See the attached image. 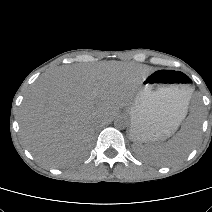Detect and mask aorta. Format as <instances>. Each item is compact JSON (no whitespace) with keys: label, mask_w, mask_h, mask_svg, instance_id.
<instances>
[{"label":"aorta","mask_w":212,"mask_h":212,"mask_svg":"<svg viewBox=\"0 0 212 212\" xmlns=\"http://www.w3.org/2000/svg\"><path fill=\"white\" fill-rule=\"evenodd\" d=\"M128 125V120L127 118L123 116H119L114 120V126L118 129H124Z\"/></svg>","instance_id":"762f6f07"}]
</instances>
